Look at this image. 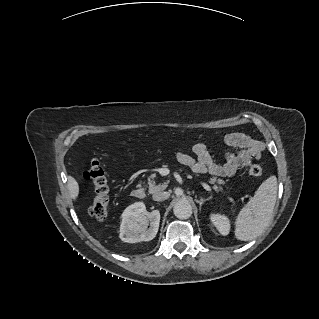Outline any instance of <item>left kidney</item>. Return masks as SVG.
I'll list each match as a JSON object with an SVG mask.
<instances>
[{"mask_svg": "<svg viewBox=\"0 0 319 319\" xmlns=\"http://www.w3.org/2000/svg\"><path fill=\"white\" fill-rule=\"evenodd\" d=\"M210 220L220 234L224 236L228 235L230 230V221L227 216L219 213H213L210 215Z\"/></svg>", "mask_w": 319, "mask_h": 319, "instance_id": "obj_1", "label": "left kidney"}]
</instances>
